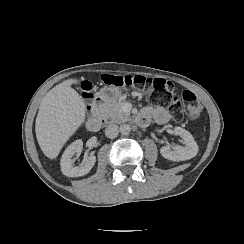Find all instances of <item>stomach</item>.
<instances>
[{
  "mask_svg": "<svg viewBox=\"0 0 244 244\" xmlns=\"http://www.w3.org/2000/svg\"><path fill=\"white\" fill-rule=\"evenodd\" d=\"M122 94V90L118 86H104L100 88L96 94L95 99L99 98L102 102L108 103L112 100L118 99Z\"/></svg>",
  "mask_w": 244,
  "mask_h": 244,
  "instance_id": "stomach-1",
  "label": "stomach"
}]
</instances>
